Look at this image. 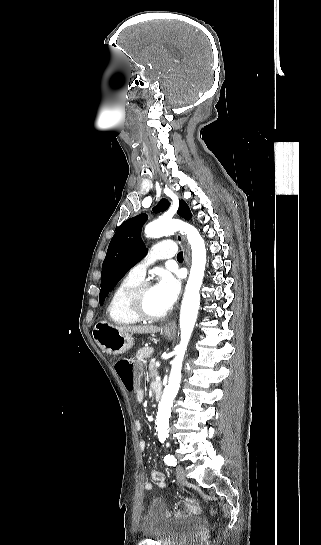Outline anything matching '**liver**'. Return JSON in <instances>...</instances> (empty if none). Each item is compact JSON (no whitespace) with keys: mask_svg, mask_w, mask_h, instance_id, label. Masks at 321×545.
I'll return each instance as SVG.
<instances>
[{"mask_svg":"<svg viewBox=\"0 0 321 545\" xmlns=\"http://www.w3.org/2000/svg\"><path fill=\"white\" fill-rule=\"evenodd\" d=\"M120 333H160V327H154V325H119L116 327Z\"/></svg>","mask_w":321,"mask_h":545,"instance_id":"6515ba94","label":"liver"}]
</instances>
